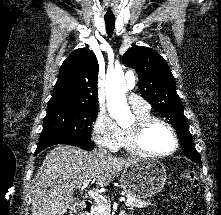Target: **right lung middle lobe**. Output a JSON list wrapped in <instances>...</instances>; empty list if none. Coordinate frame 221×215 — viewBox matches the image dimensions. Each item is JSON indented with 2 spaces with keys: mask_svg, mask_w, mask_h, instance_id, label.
<instances>
[{
  "mask_svg": "<svg viewBox=\"0 0 221 215\" xmlns=\"http://www.w3.org/2000/svg\"><path fill=\"white\" fill-rule=\"evenodd\" d=\"M98 109H68L47 113L39 143L91 135Z\"/></svg>",
  "mask_w": 221,
  "mask_h": 215,
  "instance_id": "obj_1",
  "label": "right lung middle lobe"
}]
</instances>
